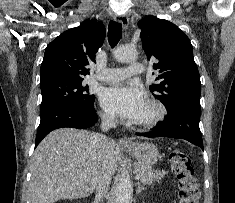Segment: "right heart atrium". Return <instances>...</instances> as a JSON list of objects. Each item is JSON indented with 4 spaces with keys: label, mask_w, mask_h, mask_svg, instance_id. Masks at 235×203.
I'll return each mask as SVG.
<instances>
[{
    "label": "right heart atrium",
    "mask_w": 235,
    "mask_h": 203,
    "mask_svg": "<svg viewBox=\"0 0 235 203\" xmlns=\"http://www.w3.org/2000/svg\"><path fill=\"white\" fill-rule=\"evenodd\" d=\"M101 117L107 123H111L113 121V118L110 115L106 114V113H102Z\"/></svg>",
    "instance_id": "right-heart-atrium-1"
}]
</instances>
